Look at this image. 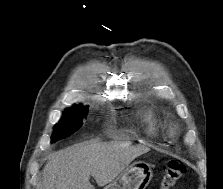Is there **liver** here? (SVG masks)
I'll return each mask as SVG.
<instances>
[{"mask_svg": "<svg viewBox=\"0 0 223 189\" xmlns=\"http://www.w3.org/2000/svg\"><path fill=\"white\" fill-rule=\"evenodd\" d=\"M144 150L148 149L124 142L75 144L51 155L38 189H94L90 176L98 186H105Z\"/></svg>", "mask_w": 223, "mask_h": 189, "instance_id": "6515ba94", "label": "liver"}]
</instances>
